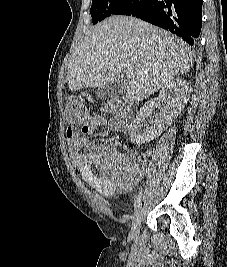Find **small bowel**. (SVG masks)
Segmentation results:
<instances>
[{
    "mask_svg": "<svg viewBox=\"0 0 227 267\" xmlns=\"http://www.w3.org/2000/svg\"><path fill=\"white\" fill-rule=\"evenodd\" d=\"M106 125L101 117L95 116L90 122L82 124L79 130L73 125L69 126L66 138L70 159L83 181L98 193L108 196L115 186L125 189L137 183L143 175L145 159L133 158L128 163L117 164L111 170L99 148L87 137L95 128L101 129L102 136L109 128H115L113 124L108 127ZM120 144V140L115 142V146ZM82 149H86L87 152L83 153Z\"/></svg>",
    "mask_w": 227,
    "mask_h": 267,
    "instance_id": "small-bowel-1",
    "label": "small bowel"
}]
</instances>
